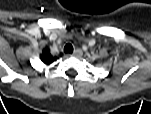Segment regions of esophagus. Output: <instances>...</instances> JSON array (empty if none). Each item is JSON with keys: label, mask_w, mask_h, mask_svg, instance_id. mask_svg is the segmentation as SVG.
Returning <instances> with one entry per match:
<instances>
[{"label": "esophagus", "mask_w": 151, "mask_h": 114, "mask_svg": "<svg viewBox=\"0 0 151 114\" xmlns=\"http://www.w3.org/2000/svg\"><path fill=\"white\" fill-rule=\"evenodd\" d=\"M82 54H83V52H82V50L81 49H76L74 52H73V56L74 57H80V56H82Z\"/></svg>", "instance_id": "obj_1"}]
</instances>
